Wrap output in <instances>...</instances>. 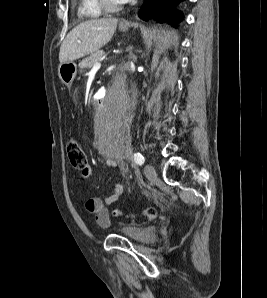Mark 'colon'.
I'll return each instance as SVG.
<instances>
[{"mask_svg":"<svg viewBox=\"0 0 267 298\" xmlns=\"http://www.w3.org/2000/svg\"><path fill=\"white\" fill-rule=\"evenodd\" d=\"M66 152L68 159L73 166V168L79 170L83 173L86 172L88 167L87 156L80 145V143L75 139L68 140L66 144ZM114 215L120 216L123 215L121 210H115ZM156 210L154 208H147L139 213H130L129 216L133 219L143 218L147 221H151L156 218Z\"/></svg>","mask_w":267,"mask_h":298,"instance_id":"obj_1","label":"colon"}]
</instances>
